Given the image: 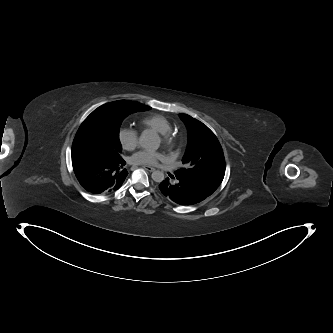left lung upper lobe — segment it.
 <instances>
[{
    "label": "left lung upper lobe",
    "instance_id": "1",
    "mask_svg": "<svg viewBox=\"0 0 333 333\" xmlns=\"http://www.w3.org/2000/svg\"><path fill=\"white\" fill-rule=\"evenodd\" d=\"M179 116L187 127L189 141L182 160L186 166L175 173L211 195L225 174L222 147L214 133L202 122L187 114Z\"/></svg>",
    "mask_w": 333,
    "mask_h": 333
}]
</instances>
